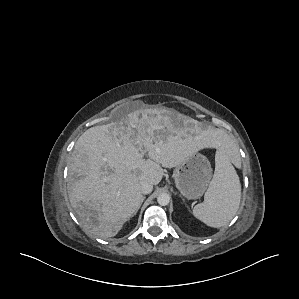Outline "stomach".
<instances>
[{"label": "stomach", "mask_w": 299, "mask_h": 299, "mask_svg": "<svg viewBox=\"0 0 299 299\" xmlns=\"http://www.w3.org/2000/svg\"><path fill=\"white\" fill-rule=\"evenodd\" d=\"M177 189L187 199H198L207 190L212 178V168L208 159L195 154L174 169Z\"/></svg>", "instance_id": "obj_1"}]
</instances>
